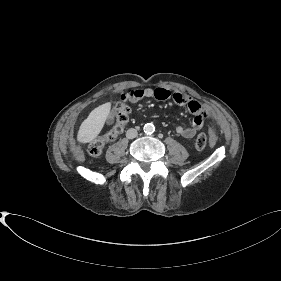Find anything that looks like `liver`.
<instances>
[{
    "label": "liver",
    "mask_w": 281,
    "mask_h": 281,
    "mask_svg": "<svg viewBox=\"0 0 281 281\" xmlns=\"http://www.w3.org/2000/svg\"><path fill=\"white\" fill-rule=\"evenodd\" d=\"M110 110L111 102H106L92 110L79 128L77 141L85 144L94 140L101 132Z\"/></svg>",
    "instance_id": "1"
}]
</instances>
